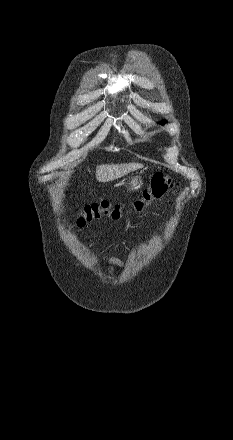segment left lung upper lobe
<instances>
[{"mask_svg": "<svg viewBox=\"0 0 233 440\" xmlns=\"http://www.w3.org/2000/svg\"><path fill=\"white\" fill-rule=\"evenodd\" d=\"M161 123H166V121H161Z\"/></svg>", "mask_w": 233, "mask_h": 440, "instance_id": "5c2ea615", "label": "left lung upper lobe"}]
</instances>
